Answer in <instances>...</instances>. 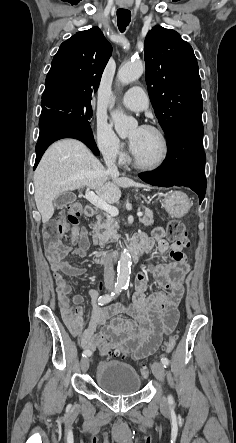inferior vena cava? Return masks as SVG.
I'll return each instance as SVG.
<instances>
[{"mask_svg": "<svg viewBox=\"0 0 236 443\" xmlns=\"http://www.w3.org/2000/svg\"><path fill=\"white\" fill-rule=\"evenodd\" d=\"M104 160H105V164L107 166V172L109 174H118V169L117 166L115 164L116 161V154L114 153H106L104 154ZM114 268H113V264H112V260L108 259L105 262L104 265V283H105V287L108 291H112L113 290V286H114Z\"/></svg>", "mask_w": 236, "mask_h": 443, "instance_id": "obj_1", "label": "inferior vena cava"}]
</instances>
